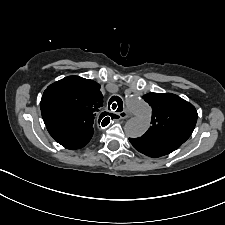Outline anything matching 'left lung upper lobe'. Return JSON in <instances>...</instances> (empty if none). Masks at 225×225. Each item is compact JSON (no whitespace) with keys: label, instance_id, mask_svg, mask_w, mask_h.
<instances>
[{"label":"left lung upper lobe","instance_id":"5c2ea615","mask_svg":"<svg viewBox=\"0 0 225 225\" xmlns=\"http://www.w3.org/2000/svg\"><path fill=\"white\" fill-rule=\"evenodd\" d=\"M143 99L152 108V125L143 138L184 143L190 137L198 116L191 103L170 93H148Z\"/></svg>","mask_w":225,"mask_h":225}]
</instances>
